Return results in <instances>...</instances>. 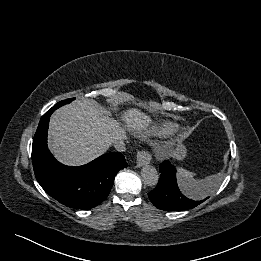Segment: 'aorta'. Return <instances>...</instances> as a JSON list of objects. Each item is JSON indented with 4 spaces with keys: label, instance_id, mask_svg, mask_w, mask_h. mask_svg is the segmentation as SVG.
Here are the masks:
<instances>
[{
    "label": "aorta",
    "instance_id": "1",
    "mask_svg": "<svg viewBox=\"0 0 261 261\" xmlns=\"http://www.w3.org/2000/svg\"><path fill=\"white\" fill-rule=\"evenodd\" d=\"M141 179L143 183L147 186H155L159 180V174L153 166H144L141 170Z\"/></svg>",
    "mask_w": 261,
    "mask_h": 261
}]
</instances>
